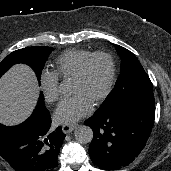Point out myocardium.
<instances>
[{
	"label": "myocardium",
	"mask_w": 171,
	"mask_h": 171,
	"mask_svg": "<svg viewBox=\"0 0 171 171\" xmlns=\"http://www.w3.org/2000/svg\"><path fill=\"white\" fill-rule=\"evenodd\" d=\"M99 56H103L107 58L109 62V78H108L107 85L105 89L103 90V92L94 100L93 104L95 105L105 100L112 91L114 81H115V76H116L115 61H114V57L112 56V54L103 50L93 52L81 63L80 67L78 68V70L72 77L73 80L82 79L87 71L89 64L92 62L94 58L99 57Z\"/></svg>",
	"instance_id": "obj_1"
}]
</instances>
